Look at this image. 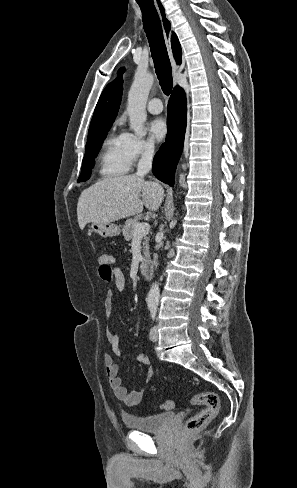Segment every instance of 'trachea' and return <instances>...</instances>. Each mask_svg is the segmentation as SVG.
Instances as JSON below:
<instances>
[{
    "label": "trachea",
    "instance_id": "1",
    "mask_svg": "<svg viewBox=\"0 0 297 488\" xmlns=\"http://www.w3.org/2000/svg\"><path fill=\"white\" fill-rule=\"evenodd\" d=\"M143 15V25L148 38L159 84L165 95L173 86L171 64L165 45L161 22L153 2L137 0Z\"/></svg>",
    "mask_w": 297,
    "mask_h": 488
}]
</instances>
